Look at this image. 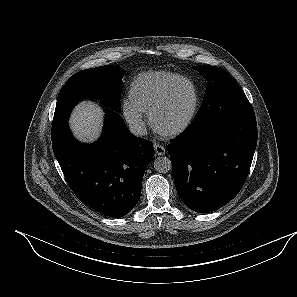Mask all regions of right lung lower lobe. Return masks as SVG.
I'll return each mask as SVG.
<instances>
[{
    "mask_svg": "<svg viewBox=\"0 0 297 297\" xmlns=\"http://www.w3.org/2000/svg\"><path fill=\"white\" fill-rule=\"evenodd\" d=\"M52 147L71 190L84 204L114 218L135 207L154 151L150 141L126 129L117 111L106 113L96 143L77 142L66 124L52 138Z\"/></svg>",
    "mask_w": 297,
    "mask_h": 297,
    "instance_id": "right-lung-lower-lobe-1",
    "label": "right lung lower lobe"
}]
</instances>
